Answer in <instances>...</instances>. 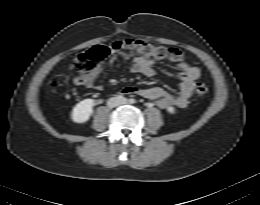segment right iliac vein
I'll return each mask as SVG.
<instances>
[{
  "label": "right iliac vein",
  "instance_id": "obj_1",
  "mask_svg": "<svg viewBox=\"0 0 260 205\" xmlns=\"http://www.w3.org/2000/svg\"><path fill=\"white\" fill-rule=\"evenodd\" d=\"M118 99L117 98H111L109 101H108V104H109V106H112V107H114V106H116L117 104H118Z\"/></svg>",
  "mask_w": 260,
  "mask_h": 205
}]
</instances>
